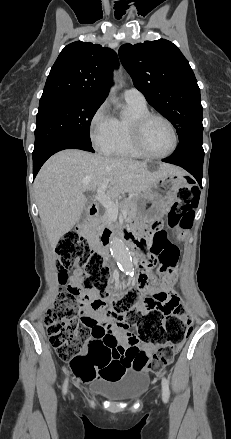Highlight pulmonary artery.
Wrapping results in <instances>:
<instances>
[{"label": "pulmonary artery", "mask_w": 231, "mask_h": 439, "mask_svg": "<svg viewBox=\"0 0 231 439\" xmlns=\"http://www.w3.org/2000/svg\"><path fill=\"white\" fill-rule=\"evenodd\" d=\"M123 97L126 101H132L137 103H146L145 96L141 91L136 88H126L123 91Z\"/></svg>", "instance_id": "pulmonary-artery-1"}]
</instances>
